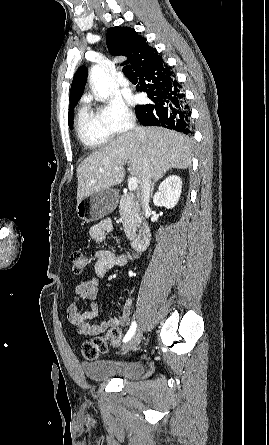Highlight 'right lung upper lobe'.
<instances>
[{"mask_svg":"<svg viewBox=\"0 0 269 445\" xmlns=\"http://www.w3.org/2000/svg\"><path fill=\"white\" fill-rule=\"evenodd\" d=\"M106 44L112 54L126 56L127 60L123 64L130 63L134 71L158 57L156 49L149 46L146 39L130 27L109 28ZM86 77L87 69L81 66L73 77L70 106L79 100L86 84Z\"/></svg>","mask_w":269,"mask_h":445,"instance_id":"obj_1","label":"right lung upper lobe"}]
</instances>
